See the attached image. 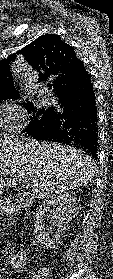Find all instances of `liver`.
Returning a JSON list of instances; mask_svg holds the SVG:
<instances>
[{
	"label": "liver",
	"mask_w": 113,
	"mask_h": 279,
	"mask_svg": "<svg viewBox=\"0 0 113 279\" xmlns=\"http://www.w3.org/2000/svg\"><path fill=\"white\" fill-rule=\"evenodd\" d=\"M95 169L81 149L28 138L0 140V194L16 186L5 178L6 171L27 178L35 198L52 199L90 182Z\"/></svg>",
	"instance_id": "1"
}]
</instances>
